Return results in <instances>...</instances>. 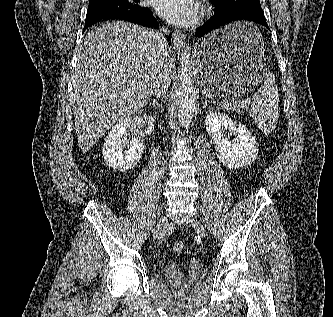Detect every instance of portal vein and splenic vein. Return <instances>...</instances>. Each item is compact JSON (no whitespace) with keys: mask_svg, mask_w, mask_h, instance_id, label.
Masks as SVG:
<instances>
[{"mask_svg":"<svg viewBox=\"0 0 333 317\" xmlns=\"http://www.w3.org/2000/svg\"><path fill=\"white\" fill-rule=\"evenodd\" d=\"M247 103H248V101H246V100L238 101V104H242V105H246Z\"/></svg>","mask_w":333,"mask_h":317,"instance_id":"obj_1","label":"portal vein and splenic vein"}]
</instances>
